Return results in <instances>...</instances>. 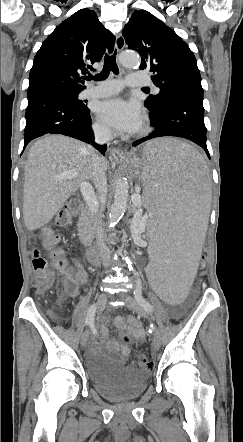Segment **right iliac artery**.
Here are the masks:
<instances>
[{"mask_svg":"<svg viewBox=\"0 0 243 442\" xmlns=\"http://www.w3.org/2000/svg\"><path fill=\"white\" fill-rule=\"evenodd\" d=\"M95 312H96V306H95V304H93L90 306V308L88 310L87 317H86V325L93 324Z\"/></svg>","mask_w":243,"mask_h":442,"instance_id":"82829eb1","label":"right iliac artery"}]
</instances>
